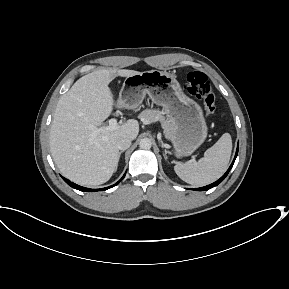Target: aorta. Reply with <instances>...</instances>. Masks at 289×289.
Segmentation results:
<instances>
[{
	"label": "aorta",
	"instance_id": "762f6f07",
	"mask_svg": "<svg viewBox=\"0 0 289 289\" xmlns=\"http://www.w3.org/2000/svg\"><path fill=\"white\" fill-rule=\"evenodd\" d=\"M139 146L141 149H150L152 146V142L149 138H143L140 140Z\"/></svg>",
	"mask_w": 289,
	"mask_h": 289
}]
</instances>
